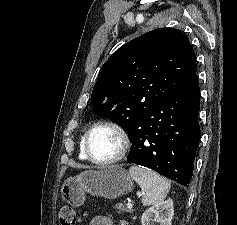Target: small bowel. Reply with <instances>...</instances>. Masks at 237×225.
Returning <instances> with one entry per match:
<instances>
[{
  "mask_svg": "<svg viewBox=\"0 0 237 225\" xmlns=\"http://www.w3.org/2000/svg\"><path fill=\"white\" fill-rule=\"evenodd\" d=\"M90 225H115L114 222L106 216H96L94 217Z\"/></svg>",
  "mask_w": 237,
  "mask_h": 225,
  "instance_id": "c3829d8e",
  "label": "small bowel"
}]
</instances>
